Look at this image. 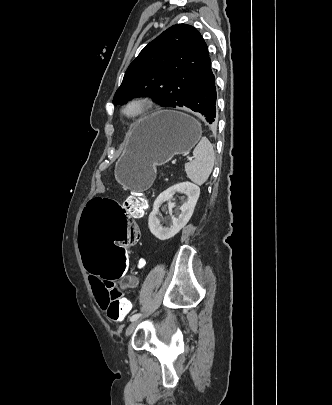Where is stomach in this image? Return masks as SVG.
<instances>
[{
    "instance_id": "obj_1",
    "label": "stomach",
    "mask_w": 332,
    "mask_h": 405,
    "mask_svg": "<svg viewBox=\"0 0 332 405\" xmlns=\"http://www.w3.org/2000/svg\"><path fill=\"white\" fill-rule=\"evenodd\" d=\"M201 136L199 122L184 112L163 110L141 118L116 162V181L125 189L145 191L156 177V166L188 153Z\"/></svg>"
}]
</instances>
